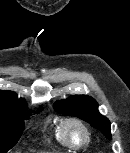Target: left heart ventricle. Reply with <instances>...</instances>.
Returning <instances> with one entry per match:
<instances>
[{
    "label": "left heart ventricle",
    "mask_w": 130,
    "mask_h": 153,
    "mask_svg": "<svg viewBox=\"0 0 130 153\" xmlns=\"http://www.w3.org/2000/svg\"><path fill=\"white\" fill-rule=\"evenodd\" d=\"M69 137L74 143H81L84 136L82 131L77 126H71L68 129Z\"/></svg>",
    "instance_id": "obj_1"
}]
</instances>
